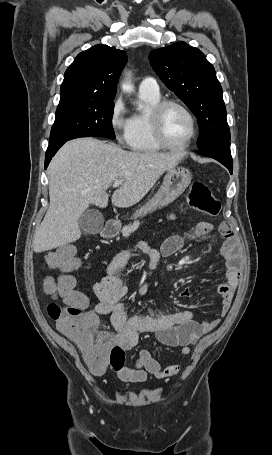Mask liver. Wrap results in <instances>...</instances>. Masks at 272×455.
<instances>
[{
	"label": "liver",
	"instance_id": "6515ba94",
	"mask_svg": "<svg viewBox=\"0 0 272 455\" xmlns=\"http://www.w3.org/2000/svg\"><path fill=\"white\" fill-rule=\"evenodd\" d=\"M183 157L177 153L129 152L94 138L67 142L48 167L50 205L36 230L33 249L45 252L81 237L79 218L90 204L108 205L107 189L119 180L112 203L128 208L150 191L159 177Z\"/></svg>",
	"mask_w": 272,
	"mask_h": 455
}]
</instances>
